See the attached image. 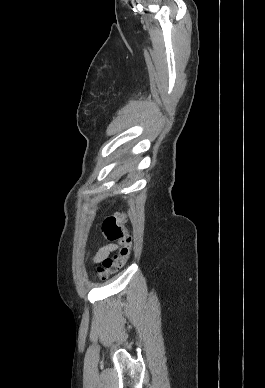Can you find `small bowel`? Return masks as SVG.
Instances as JSON below:
<instances>
[{
	"label": "small bowel",
	"instance_id": "1",
	"mask_svg": "<svg viewBox=\"0 0 265 388\" xmlns=\"http://www.w3.org/2000/svg\"><path fill=\"white\" fill-rule=\"evenodd\" d=\"M116 249H117L116 244H108V245L99 249V251L94 255L93 260L95 262H100V261L104 260L105 258H107V256L111 252L115 251Z\"/></svg>",
	"mask_w": 265,
	"mask_h": 388
}]
</instances>
